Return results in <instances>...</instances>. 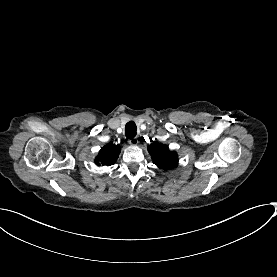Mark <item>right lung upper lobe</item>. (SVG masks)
<instances>
[{"label":"right lung upper lobe","mask_w":277,"mask_h":277,"mask_svg":"<svg viewBox=\"0 0 277 277\" xmlns=\"http://www.w3.org/2000/svg\"><path fill=\"white\" fill-rule=\"evenodd\" d=\"M121 148L118 145L107 144L99 151V154L95 158L97 165L110 166L114 164L120 154Z\"/></svg>","instance_id":"obj_1"}]
</instances>
